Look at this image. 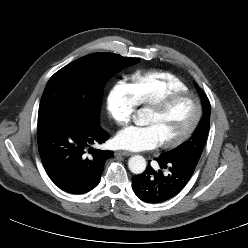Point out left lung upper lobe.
I'll return each mask as SVG.
<instances>
[{
	"mask_svg": "<svg viewBox=\"0 0 248 248\" xmlns=\"http://www.w3.org/2000/svg\"><path fill=\"white\" fill-rule=\"evenodd\" d=\"M199 92L203 96L204 115L198 127L189 140L160 156L176 160L195 159L199 161L210 128V102L201 89Z\"/></svg>",
	"mask_w": 248,
	"mask_h": 248,
	"instance_id": "1",
	"label": "left lung upper lobe"
}]
</instances>
